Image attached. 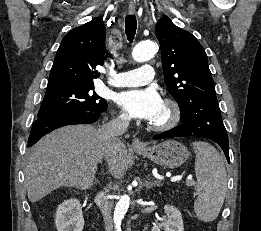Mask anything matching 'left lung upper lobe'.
Listing matches in <instances>:
<instances>
[{
    "label": "left lung upper lobe",
    "instance_id": "obj_1",
    "mask_svg": "<svg viewBox=\"0 0 261 231\" xmlns=\"http://www.w3.org/2000/svg\"><path fill=\"white\" fill-rule=\"evenodd\" d=\"M165 83L180 107L181 121L209 138L228 139L207 55L188 31L162 17L156 24Z\"/></svg>",
    "mask_w": 261,
    "mask_h": 231
}]
</instances>
